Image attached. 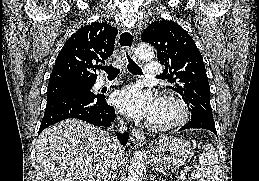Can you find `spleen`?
Listing matches in <instances>:
<instances>
[{
    "instance_id": "1",
    "label": "spleen",
    "mask_w": 259,
    "mask_h": 181,
    "mask_svg": "<svg viewBox=\"0 0 259 181\" xmlns=\"http://www.w3.org/2000/svg\"><path fill=\"white\" fill-rule=\"evenodd\" d=\"M200 168L191 173L193 181H219V163L217 153L212 144L205 146V151L199 157Z\"/></svg>"
}]
</instances>
